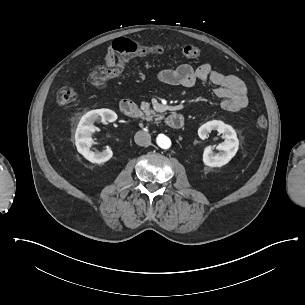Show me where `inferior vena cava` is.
I'll return each mask as SVG.
<instances>
[{"mask_svg":"<svg viewBox=\"0 0 305 305\" xmlns=\"http://www.w3.org/2000/svg\"><path fill=\"white\" fill-rule=\"evenodd\" d=\"M134 141L139 146H146L150 144L151 136L146 131H138L134 136Z\"/></svg>","mask_w":305,"mask_h":305,"instance_id":"inferior-vena-cava-1","label":"inferior vena cava"}]
</instances>
